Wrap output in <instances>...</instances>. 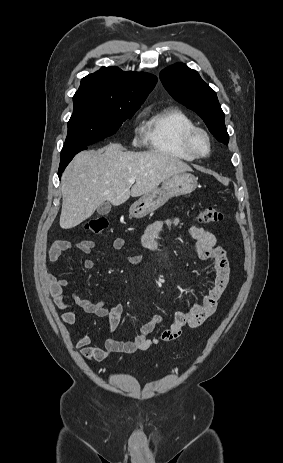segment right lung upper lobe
<instances>
[{
	"label": "right lung upper lobe",
	"instance_id": "cb5924a9",
	"mask_svg": "<svg viewBox=\"0 0 283 463\" xmlns=\"http://www.w3.org/2000/svg\"><path fill=\"white\" fill-rule=\"evenodd\" d=\"M156 82L157 77L149 73L124 72L117 67H102L81 80L75 95L143 103Z\"/></svg>",
	"mask_w": 283,
	"mask_h": 463
}]
</instances>
